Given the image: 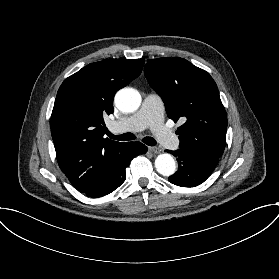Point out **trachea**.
<instances>
[{"label":"trachea","instance_id":"trachea-1","mask_svg":"<svg viewBox=\"0 0 279 279\" xmlns=\"http://www.w3.org/2000/svg\"><path fill=\"white\" fill-rule=\"evenodd\" d=\"M107 135L114 140H120V141H127V140H134L135 136L132 133H124L122 135H113L108 130L106 131ZM143 142L147 145L154 146L157 144L156 140L152 137H145L143 139Z\"/></svg>","mask_w":279,"mask_h":279}]
</instances>
